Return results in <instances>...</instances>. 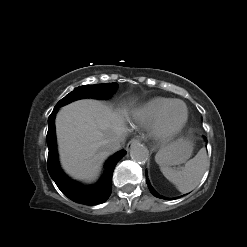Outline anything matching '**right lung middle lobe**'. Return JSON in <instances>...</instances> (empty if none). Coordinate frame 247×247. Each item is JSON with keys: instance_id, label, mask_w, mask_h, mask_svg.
Listing matches in <instances>:
<instances>
[{"instance_id": "dd1d6c3e", "label": "right lung middle lobe", "mask_w": 247, "mask_h": 247, "mask_svg": "<svg viewBox=\"0 0 247 247\" xmlns=\"http://www.w3.org/2000/svg\"><path fill=\"white\" fill-rule=\"evenodd\" d=\"M117 83H103L96 85H85L76 88L74 91L66 95L63 99H61L57 105L64 106L74 100H78L81 98H97V99H105L110 97L116 90Z\"/></svg>"}]
</instances>
